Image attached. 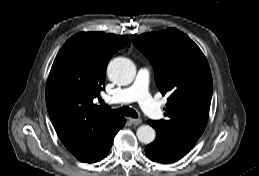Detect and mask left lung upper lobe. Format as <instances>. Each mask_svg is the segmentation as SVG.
Listing matches in <instances>:
<instances>
[{
  "label": "left lung upper lobe",
  "mask_w": 259,
  "mask_h": 176,
  "mask_svg": "<svg viewBox=\"0 0 259 176\" xmlns=\"http://www.w3.org/2000/svg\"><path fill=\"white\" fill-rule=\"evenodd\" d=\"M133 44L151 61L162 95L169 93L165 116L154 121L169 136L195 143L209 116L212 76L200 48L181 31L167 30L139 35Z\"/></svg>",
  "instance_id": "1"
}]
</instances>
